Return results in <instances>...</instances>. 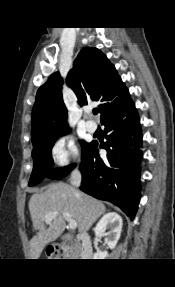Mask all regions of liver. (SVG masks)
I'll list each match as a JSON object with an SVG mask.
<instances>
[{"label": "liver", "instance_id": "liver-1", "mask_svg": "<svg viewBox=\"0 0 175 287\" xmlns=\"http://www.w3.org/2000/svg\"><path fill=\"white\" fill-rule=\"evenodd\" d=\"M28 206L37 231L30 241L31 259H38L44 247L63 233L66 227L63 213L70 214L77 222L79 233H85L106 211L102 202L63 182L51 184L46 191L33 194ZM53 212L56 216L46 223L45 216Z\"/></svg>", "mask_w": 175, "mask_h": 287}]
</instances>
